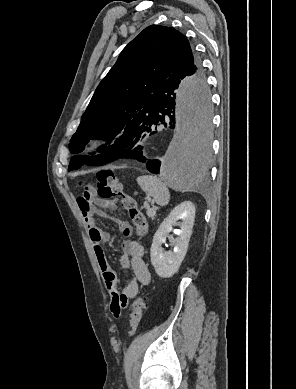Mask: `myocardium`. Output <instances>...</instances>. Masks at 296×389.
<instances>
[{"mask_svg": "<svg viewBox=\"0 0 296 389\" xmlns=\"http://www.w3.org/2000/svg\"><path fill=\"white\" fill-rule=\"evenodd\" d=\"M99 144H100V141H99L98 139H91V140L87 143V149L93 150V149H95L96 147H98Z\"/></svg>", "mask_w": 296, "mask_h": 389, "instance_id": "1", "label": "myocardium"}]
</instances>
